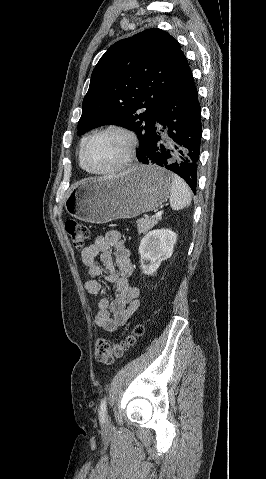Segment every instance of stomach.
<instances>
[{
    "label": "stomach",
    "instance_id": "stomach-1",
    "mask_svg": "<svg viewBox=\"0 0 266 479\" xmlns=\"http://www.w3.org/2000/svg\"><path fill=\"white\" fill-rule=\"evenodd\" d=\"M172 174L156 165H136L110 178L88 179L67 193V213L94 224L126 219L158 208L168 197Z\"/></svg>",
    "mask_w": 266,
    "mask_h": 479
}]
</instances>
